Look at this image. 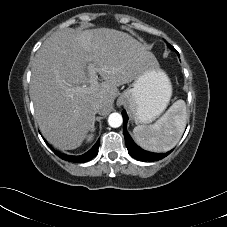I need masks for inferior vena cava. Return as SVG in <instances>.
Here are the masks:
<instances>
[{"label":"inferior vena cava","instance_id":"obj_1","mask_svg":"<svg viewBox=\"0 0 227 227\" xmlns=\"http://www.w3.org/2000/svg\"><path fill=\"white\" fill-rule=\"evenodd\" d=\"M92 106L96 111L101 110L103 107V101L100 99H97L93 102Z\"/></svg>","mask_w":227,"mask_h":227}]
</instances>
